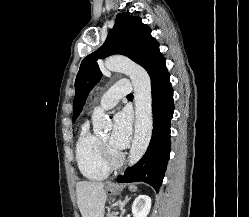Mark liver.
Here are the masks:
<instances>
[{
	"label": "liver",
	"mask_w": 249,
	"mask_h": 217,
	"mask_svg": "<svg viewBox=\"0 0 249 217\" xmlns=\"http://www.w3.org/2000/svg\"><path fill=\"white\" fill-rule=\"evenodd\" d=\"M104 183L82 181L76 184L77 204L82 217H104Z\"/></svg>",
	"instance_id": "6515ba94"
}]
</instances>
